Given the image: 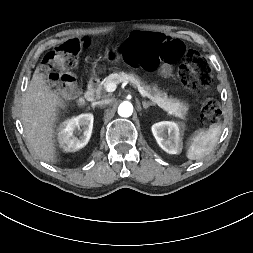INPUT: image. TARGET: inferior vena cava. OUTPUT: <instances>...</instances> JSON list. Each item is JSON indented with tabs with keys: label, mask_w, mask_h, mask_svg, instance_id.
Wrapping results in <instances>:
<instances>
[{
	"label": "inferior vena cava",
	"mask_w": 253,
	"mask_h": 253,
	"mask_svg": "<svg viewBox=\"0 0 253 253\" xmlns=\"http://www.w3.org/2000/svg\"><path fill=\"white\" fill-rule=\"evenodd\" d=\"M97 103H98V105H106V104L110 103V100L109 99H104V100L98 101Z\"/></svg>",
	"instance_id": "602c4592"
}]
</instances>
